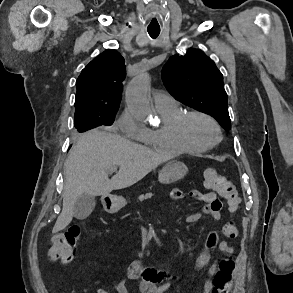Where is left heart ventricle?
Wrapping results in <instances>:
<instances>
[{
	"mask_svg": "<svg viewBox=\"0 0 293 293\" xmlns=\"http://www.w3.org/2000/svg\"><path fill=\"white\" fill-rule=\"evenodd\" d=\"M187 133L190 140L198 145H205L217 139L215 127L206 119L193 117L189 120Z\"/></svg>",
	"mask_w": 293,
	"mask_h": 293,
	"instance_id": "left-heart-ventricle-1",
	"label": "left heart ventricle"
}]
</instances>
